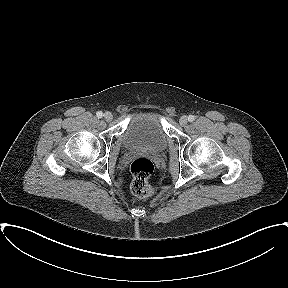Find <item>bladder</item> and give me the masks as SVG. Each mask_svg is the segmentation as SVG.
<instances>
[{
  "instance_id": "bladder-1",
  "label": "bladder",
  "mask_w": 288,
  "mask_h": 288,
  "mask_svg": "<svg viewBox=\"0 0 288 288\" xmlns=\"http://www.w3.org/2000/svg\"><path fill=\"white\" fill-rule=\"evenodd\" d=\"M167 140L161 116L153 111L134 114L123 134V144L130 150L161 152L166 148Z\"/></svg>"
}]
</instances>
